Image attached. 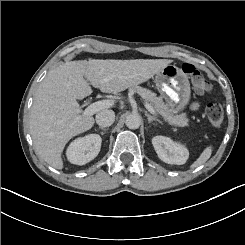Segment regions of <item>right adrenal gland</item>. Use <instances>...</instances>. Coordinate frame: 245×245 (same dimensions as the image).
Returning <instances> with one entry per match:
<instances>
[{
	"instance_id": "right-adrenal-gland-1",
	"label": "right adrenal gland",
	"mask_w": 245,
	"mask_h": 245,
	"mask_svg": "<svg viewBox=\"0 0 245 245\" xmlns=\"http://www.w3.org/2000/svg\"><path fill=\"white\" fill-rule=\"evenodd\" d=\"M99 129L104 131V132H101L102 135L108 130V129L104 128V127H99Z\"/></svg>"
}]
</instances>
